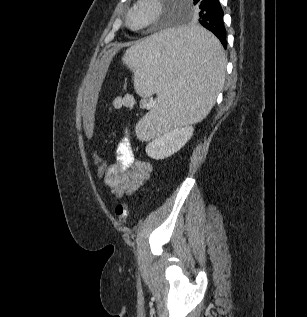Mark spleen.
I'll use <instances>...</instances> for the list:
<instances>
[{"label":"spleen","instance_id":"obj_1","mask_svg":"<svg viewBox=\"0 0 307 317\" xmlns=\"http://www.w3.org/2000/svg\"><path fill=\"white\" fill-rule=\"evenodd\" d=\"M122 60L134 73L138 94H157L155 108L136 126L141 140L202 121L225 81L223 48L206 26H175L149 33Z\"/></svg>","mask_w":307,"mask_h":317}]
</instances>
